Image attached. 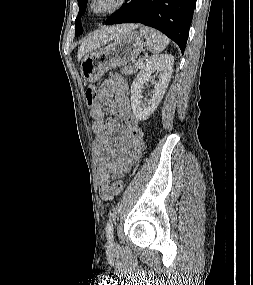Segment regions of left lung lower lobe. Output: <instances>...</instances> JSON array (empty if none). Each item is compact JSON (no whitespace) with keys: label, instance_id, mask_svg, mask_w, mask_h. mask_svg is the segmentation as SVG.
Returning a JSON list of instances; mask_svg holds the SVG:
<instances>
[{"label":"left lung lower lobe","instance_id":"1","mask_svg":"<svg viewBox=\"0 0 253 285\" xmlns=\"http://www.w3.org/2000/svg\"><path fill=\"white\" fill-rule=\"evenodd\" d=\"M106 25L141 23L156 28L175 41L184 53L196 0H127Z\"/></svg>","mask_w":253,"mask_h":285}]
</instances>
